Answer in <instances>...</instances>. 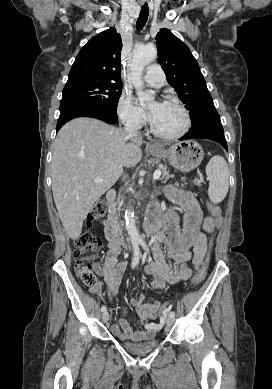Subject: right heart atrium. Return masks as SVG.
Segmentation results:
<instances>
[{"instance_id":"obj_1","label":"right heart atrium","mask_w":272,"mask_h":389,"mask_svg":"<svg viewBox=\"0 0 272 389\" xmlns=\"http://www.w3.org/2000/svg\"><path fill=\"white\" fill-rule=\"evenodd\" d=\"M117 113L121 122L133 130L141 129L146 121L145 114L130 94L123 92L118 100Z\"/></svg>"}]
</instances>
